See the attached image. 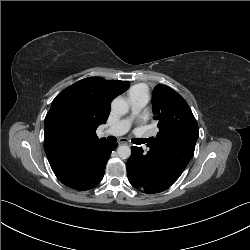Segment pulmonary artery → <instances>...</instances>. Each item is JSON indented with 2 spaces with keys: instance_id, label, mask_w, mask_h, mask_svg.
<instances>
[{
  "instance_id": "e3ab8cb5",
  "label": "pulmonary artery",
  "mask_w": 250,
  "mask_h": 250,
  "mask_svg": "<svg viewBox=\"0 0 250 250\" xmlns=\"http://www.w3.org/2000/svg\"><path fill=\"white\" fill-rule=\"evenodd\" d=\"M129 102L131 106V115L116 124L110 126L104 131L105 135L121 136L125 134L131 125L132 119L144 108L148 102V98L143 95H131L129 96Z\"/></svg>"
}]
</instances>
